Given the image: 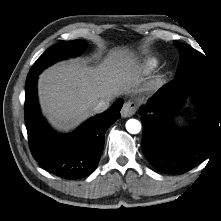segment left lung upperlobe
<instances>
[{"label": "left lung upper lobe", "instance_id": "obj_1", "mask_svg": "<svg viewBox=\"0 0 221 221\" xmlns=\"http://www.w3.org/2000/svg\"><path fill=\"white\" fill-rule=\"evenodd\" d=\"M174 45L180 54L175 78L202 77L221 88L220 77L212 70L208 60L202 53L185 43L175 42Z\"/></svg>", "mask_w": 221, "mask_h": 221}]
</instances>
